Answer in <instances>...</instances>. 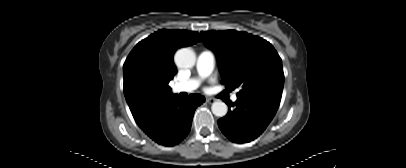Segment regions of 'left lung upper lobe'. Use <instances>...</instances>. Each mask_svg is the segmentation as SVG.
I'll return each mask as SVG.
<instances>
[{"instance_id":"1","label":"left lung upper lobe","mask_w":406,"mask_h":168,"mask_svg":"<svg viewBox=\"0 0 406 168\" xmlns=\"http://www.w3.org/2000/svg\"><path fill=\"white\" fill-rule=\"evenodd\" d=\"M217 56L222 84L238 87L237 97L280 103L284 86L282 61L266 40L234 30L201 32Z\"/></svg>"}]
</instances>
